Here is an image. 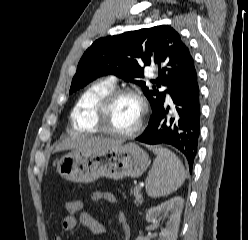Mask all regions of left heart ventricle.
I'll return each mask as SVG.
<instances>
[{
  "label": "left heart ventricle",
  "instance_id": "b2bd125f",
  "mask_svg": "<svg viewBox=\"0 0 248 240\" xmlns=\"http://www.w3.org/2000/svg\"><path fill=\"white\" fill-rule=\"evenodd\" d=\"M141 115L138 100L132 96L117 98L106 117V126L119 132H129L135 128Z\"/></svg>",
  "mask_w": 248,
  "mask_h": 240
}]
</instances>
